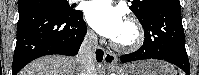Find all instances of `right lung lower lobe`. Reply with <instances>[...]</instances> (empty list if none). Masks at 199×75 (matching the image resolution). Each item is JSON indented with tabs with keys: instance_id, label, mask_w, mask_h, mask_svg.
Listing matches in <instances>:
<instances>
[{
	"instance_id": "obj_1",
	"label": "right lung lower lobe",
	"mask_w": 199,
	"mask_h": 75,
	"mask_svg": "<svg viewBox=\"0 0 199 75\" xmlns=\"http://www.w3.org/2000/svg\"><path fill=\"white\" fill-rule=\"evenodd\" d=\"M86 31L81 11H77L71 18L44 9L19 12L12 75H16L26 64L41 56L76 55ZM96 58L98 62L102 61V50L96 51Z\"/></svg>"
}]
</instances>
